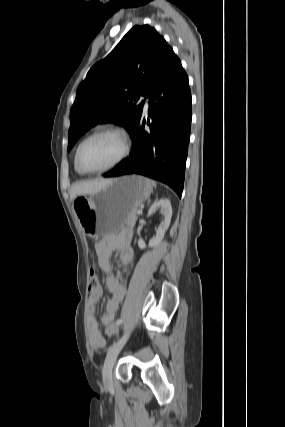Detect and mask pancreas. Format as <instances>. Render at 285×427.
I'll return each instance as SVG.
<instances>
[{
  "label": "pancreas",
  "instance_id": "cf45deb5",
  "mask_svg": "<svg viewBox=\"0 0 285 427\" xmlns=\"http://www.w3.org/2000/svg\"><path fill=\"white\" fill-rule=\"evenodd\" d=\"M136 219H137L136 211L131 212L128 217V225H133L136 222Z\"/></svg>",
  "mask_w": 285,
  "mask_h": 427
}]
</instances>
